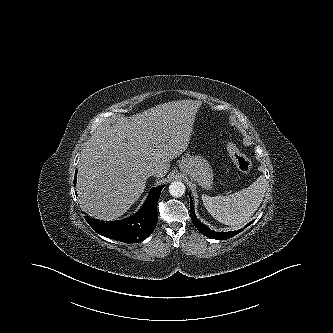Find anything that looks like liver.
Masks as SVG:
<instances>
[{"mask_svg":"<svg viewBox=\"0 0 333 333\" xmlns=\"http://www.w3.org/2000/svg\"><path fill=\"white\" fill-rule=\"evenodd\" d=\"M199 106L192 100L163 103L97 131L78 165L82 209L105 221L123 215L144 192L149 170L164 177L171 160L187 149Z\"/></svg>","mask_w":333,"mask_h":333,"instance_id":"obj_1","label":"liver"}]
</instances>
